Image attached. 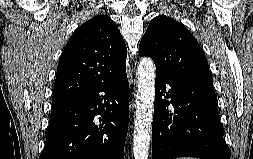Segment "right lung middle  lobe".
Wrapping results in <instances>:
<instances>
[{
	"label": "right lung middle lobe",
	"mask_w": 253,
	"mask_h": 159,
	"mask_svg": "<svg viewBox=\"0 0 253 159\" xmlns=\"http://www.w3.org/2000/svg\"><path fill=\"white\" fill-rule=\"evenodd\" d=\"M67 103H56V104H52V111H56L60 108H62L63 106H65Z\"/></svg>",
	"instance_id": "right-lung-middle-lobe-1"
}]
</instances>
